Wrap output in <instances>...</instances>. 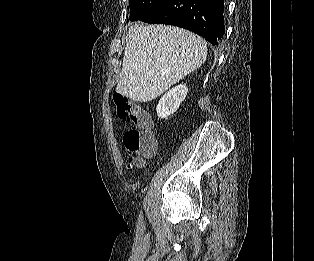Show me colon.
Segmentation results:
<instances>
[{
  "instance_id": "5ec220e1",
  "label": "colon",
  "mask_w": 314,
  "mask_h": 261,
  "mask_svg": "<svg viewBox=\"0 0 314 261\" xmlns=\"http://www.w3.org/2000/svg\"><path fill=\"white\" fill-rule=\"evenodd\" d=\"M114 101L118 118L129 119L134 125L124 134L123 144L125 150L136 157L135 164H138L142 157L152 155L156 149L157 138L152 129L151 116L121 93L114 94Z\"/></svg>"
}]
</instances>
